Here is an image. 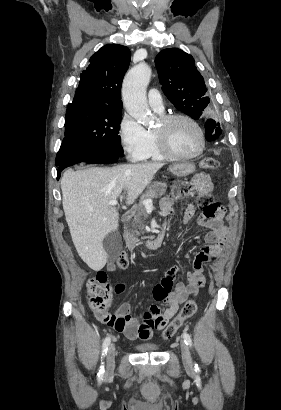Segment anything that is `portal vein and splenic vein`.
<instances>
[{
	"label": "portal vein and splenic vein",
	"instance_id": "portal-vein-and-splenic-vein-1",
	"mask_svg": "<svg viewBox=\"0 0 281 410\" xmlns=\"http://www.w3.org/2000/svg\"><path fill=\"white\" fill-rule=\"evenodd\" d=\"M118 203V201L115 199V200H111L110 202H109V205L110 206H115L116 204ZM142 203H143V205L145 206V207H153V201H152V199H150V198H148V199H145V200H143L142 201Z\"/></svg>",
	"mask_w": 281,
	"mask_h": 410
}]
</instances>
